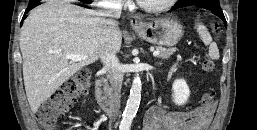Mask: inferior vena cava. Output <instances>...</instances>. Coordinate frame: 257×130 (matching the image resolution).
<instances>
[{
  "label": "inferior vena cava",
  "mask_w": 257,
  "mask_h": 130,
  "mask_svg": "<svg viewBox=\"0 0 257 130\" xmlns=\"http://www.w3.org/2000/svg\"><path fill=\"white\" fill-rule=\"evenodd\" d=\"M107 10L103 11L101 16L105 17L103 20V34L106 35L102 39V51L101 60L104 65V69L107 71V77L114 91L113 106L115 115L118 114L121 101V87L123 81V74L121 66L116 53L110 49L109 38L118 30L117 22L115 19L121 16L122 5L119 1H114Z\"/></svg>",
  "instance_id": "602c4592"
}]
</instances>
